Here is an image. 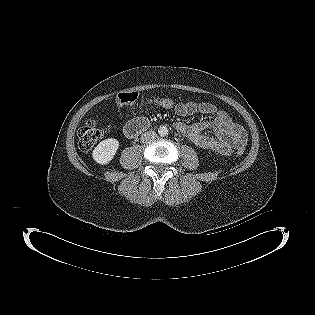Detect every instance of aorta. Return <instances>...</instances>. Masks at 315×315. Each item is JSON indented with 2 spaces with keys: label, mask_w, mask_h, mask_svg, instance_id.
Segmentation results:
<instances>
[{
  "label": "aorta",
  "mask_w": 315,
  "mask_h": 315,
  "mask_svg": "<svg viewBox=\"0 0 315 315\" xmlns=\"http://www.w3.org/2000/svg\"><path fill=\"white\" fill-rule=\"evenodd\" d=\"M158 133H159L160 136H166V135H168V128L165 127V126H161L158 129Z\"/></svg>",
  "instance_id": "1"
}]
</instances>
